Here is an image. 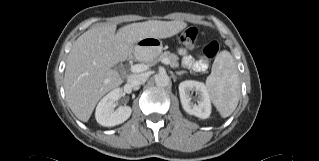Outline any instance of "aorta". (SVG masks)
Instances as JSON below:
<instances>
[{
	"label": "aorta",
	"mask_w": 319,
	"mask_h": 161,
	"mask_svg": "<svg viewBox=\"0 0 319 161\" xmlns=\"http://www.w3.org/2000/svg\"><path fill=\"white\" fill-rule=\"evenodd\" d=\"M155 83L159 87H166L170 83V77L166 73H159L155 77Z\"/></svg>",
	"instance_id": "762f6f07"
}]
</instances>
